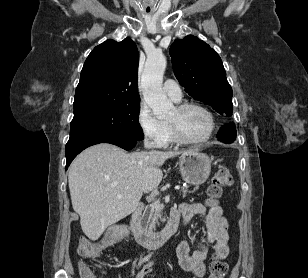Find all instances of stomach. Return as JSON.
<instances>
[{
	"mask_svg": "<svg viewBox=\"0 0 308 278\" xmlns=\"http://www.w3.org/2000/svg\"><path fill=\"white\" fill-rule=\"evenodd\" d=\"M180 173L184 181L191 185H201L211 172L209 156L197 150H190L179 158Z\"/></svg>",
	"mask_w": 308,
	"mask_h": 278,
	"instance_id": "0dacf381",
	"label": "stomach"
}]
</instances>
